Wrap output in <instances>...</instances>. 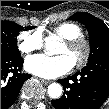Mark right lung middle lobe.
Listing matches in <instances>:
<instances>
[{
	"mask_svg": "<svg viewBox=\"0 0 109 109\" xmlns=\"http://www.w3.org/2000/svg\"><path fill=\"white\" fill-rule=\"evenodd\" d=\"M34 27H22L11 21H1V54L20 55L17 47V35L22 30H30Z\"/></svg>",
	"mask_w": 109,
	"mask_h": 109,
	"instance_id": "right-lung-middle-lobe-1",
	"label": "right lung middle lobe"
}]
</instances>
